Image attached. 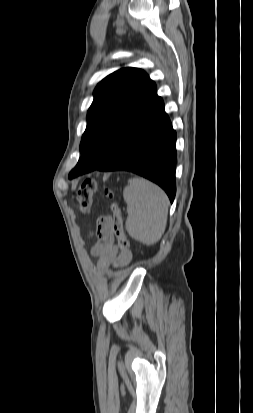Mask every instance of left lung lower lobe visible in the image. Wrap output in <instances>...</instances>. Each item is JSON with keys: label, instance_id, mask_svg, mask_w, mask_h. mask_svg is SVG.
I'll use <instances>...</instances> for the list:
<instances>
[{"label": "left lung lower lobe", "instance_id": "0a47b994", "mask_svg": "<svg viewBox=\"0 0 253 413\" xmlns=\"http://www.w3.org/2000/svg\"><path fill=\"white\" fill-rule=\"evenodd\" d=\"M120 132L114 156L98 170H126L139 174L161 186L173 202L176 132L165 113L161 97L156 94L139 115L122 122Z\"/></svg>", "mask_w": 253, "mask_h": 413}]
</instances>
